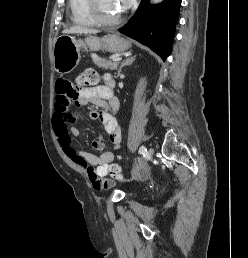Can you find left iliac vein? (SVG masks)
I'll use <instances>...</instances> for the list:
<instances>
[{
    "label": "left iliac vein",
    "mask_w": 248,
    "mask_h": 258,
    "mask_svg": "<svg viewBox=\"0 0 248 258\" xmlns=\"http://www.w3.org/2000/svg\"><path fill=\"white\" fill-rule=\"evenodd\" d=\"M154 154V149L153 148H149L148 152H147V157L151 158Z\"/></svg>",
    "instance_id": "left-iliac-vein-1"
}]
</instances>
